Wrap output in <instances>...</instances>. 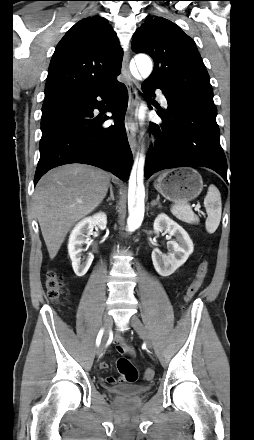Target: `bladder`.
<instances>
[{
    "label": "bladder",
    "mask_w": 254,
    "mask_h": 440,
    "mask_svg": "<svg viewBox=\"0 0 254 440\" xmlns=\"http://www.w3.org/2000/svg\"><path fill=\"white\" fill-rule=\"evenodd\" d=\"M149 390L147 385H117L108 388V391L115 396L133 397L146 393Z\"/></svg>",
    "instance_id": "bladder-1"
}]
</instances>
